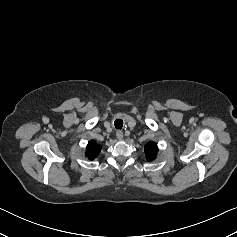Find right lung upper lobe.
<instances>
[{
	"label": "right lung upper lobe",
	"instance_id": "1",
	"mask_svg": "<svg viewBox=\"0 0 237 237\" xmlns=\"http://www.w3.org/2000/svg\"><path fill=\"white\" fill-rule=\"evenodd\" d=\"M86 154L90 160H93L101 151V146L96 143V141L91 140L86 148Z\"/></svg>",
	"mask_w": 237,
	"mask_h": 237
}]
</instances>
